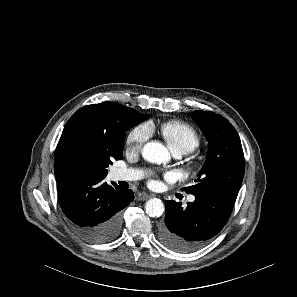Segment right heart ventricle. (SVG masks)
<instances>
[{
  "mask_svg": "<svg viewBox=\"0 0 297 297\" xmlns=\"http://www.w3.org/2000/svg\"><path fill=\"white\" fill-rule=\"evenodd\" d=\"M160 132L173 151H192L200 143L196 129L182 121H170L160 127Z\"/></svg>",
  "mask_w": 297,
  "mask_h": 297,
  "instance_id": "right-heart-ventricle-1",
  "label": "right heart ventricle"
}]
</instances>
